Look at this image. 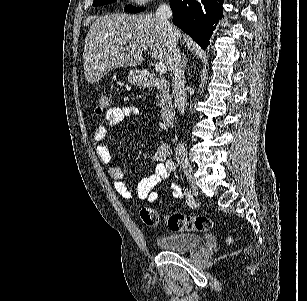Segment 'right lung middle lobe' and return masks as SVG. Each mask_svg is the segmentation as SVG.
<instances>
[{"label":"right lung middle lobe","mask_w":307,"mask_h":301,"mask_svg":"<svg viewBox=\"0 0 307 301\" xmlns=\"http://www.w3.org/2000/svg\"><path fill=\"white\" fill-rule=\"evenodd\" d=\"M116 0H94L93 2V6H102V5H105V4H108L110 2H115ZM143 9L141 8H136L134 6H131V5H127L125 6L124 8V11L126 12H131V13H137L139 11H142Z\"/></svg>","instance_id":"right-lung-middle-lobe-1"}]
</instances>
